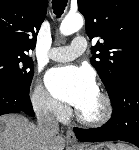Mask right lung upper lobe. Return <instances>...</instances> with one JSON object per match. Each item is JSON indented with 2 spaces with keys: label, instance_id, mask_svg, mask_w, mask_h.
Masks as SVG:
<instances>
[{
  "label": "right lung upper lobe",
  "instance_id": "1",
  "mask_svg": "<svg viewBox=\"0 0 139 150\" xmlns=\"http://www.w3.org/2000/svg\"><path fill=\"white\" fill-rule=\"evenodd\" d=\"M46 8L47 0H0V49L29 54Z\"/></svg>",
  "mask_w": 139,
  "mask_h": 150
}]
</instances>
